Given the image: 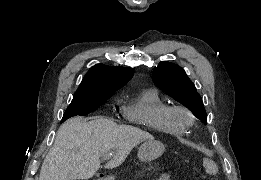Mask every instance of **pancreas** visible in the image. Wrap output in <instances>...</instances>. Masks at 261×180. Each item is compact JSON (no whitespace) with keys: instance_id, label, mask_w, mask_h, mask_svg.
Listing matches in <instances>:
<instances>
[{"instance_id":"cf45deb5","label":"pancreas","mask_w":261,"mask_h":180,"mask_svg":"<svg viewBox=\"0 0 261 180\" xmlns=\"http://www.w3.org/2000/svg\"><path fill=\"white\" fill-rule=\"evenodd\" d=\"M164 162L162 160H155V162H152V160H148V162L142 163L140 165V170H138V173H141V175H144V170H159L160 167H164ZM133 177H136V174H133Z\"/></svg>"}]
</instances>
